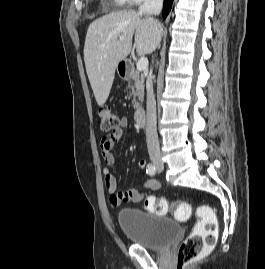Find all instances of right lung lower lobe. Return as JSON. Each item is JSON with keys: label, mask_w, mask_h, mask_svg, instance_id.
<instances>
[{"label": "right lung lower lobe", "mask_w": 265, "mask_h": 269, "mask_svg": "<svg viewBox=\"0 0 265 269\" xmlns=\"http://www.w3.org/2000/svg\"><path fill=\"white\" fill-rule=\"evenodd\" d=\"M173 0H164L163 17L166 18L171 10Z\"/></svg>", "instance_id": "1"}]
</instances>
